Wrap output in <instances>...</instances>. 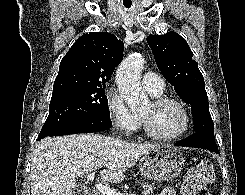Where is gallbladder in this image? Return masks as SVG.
Masks as SVG:
<instances>
[{
    "label": "gallbladder",
    "instance_id": "gallbladder-1",
    "mask_svg": "<svg viewBox=\"0 0 245 195\" xmlns=\"http://www.w3.org/2000/svg\"><path fill=\"white\" fill-rule=\"evenodd\" d=\"M74 195H86V190L82 186H78Z\"/></svg>",
    "mask_w": 245,
    "mask_h": 195
}]
</instances>
